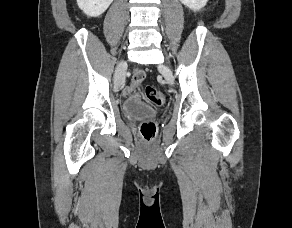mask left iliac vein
Segmentation results:
<instances>
[{
  "instance_id": "obj_1",
  "label": "left iliac vein",
  "mask_w": 292,
  "mask_h": 228,
  "mask_svg": "<svg viewBox=\"0 0 292 228\" xmlns=\"http://www.w3.org/2000/svg\"><path fill=\"white\" fill-rule=\"evenodd\" d=\"M160 73L164 76L168 84L173 85L174 84V76L171 72V70L165 66V65H160L159 67Z\"/></svg>"
}]
</instances>
